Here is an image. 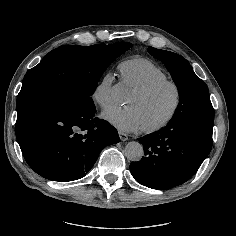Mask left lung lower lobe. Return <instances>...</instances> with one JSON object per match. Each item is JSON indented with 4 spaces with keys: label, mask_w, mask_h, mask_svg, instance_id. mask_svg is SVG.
<instances>
[{
    "label": "left lung lower lobe",
    "mask_w": 236,
    "mask_h": 236,
    "mask_svg": "<svg viewBox=\"0 0 236 236\" xmlns=\"http://www.w3.org/2000/svg\"><path fill=\"white\" fill-rule=\"evenodd\" d=\"M213 122L184 119L139 138L144 156L130 164L131 174L140 184L153 189L183 184L211 151Z\"/></svg>",
    "instance_id": "left-lung-lower-lobe-1"
}]
</instances>
